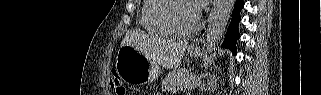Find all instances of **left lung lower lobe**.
Here are the masks:
<instances>
[{
	"label": "left lung lower lobe",
	"mask_w": 321,
	"mask_h": 95,
	"mask_svg": "<svg viewBox=\"0 0 321 95\" xmlns=\"http://www.w3.org/2000/svg\"><path fill=\"white\" fill-rule=\"evenodd\" d=\"M244 6L243 0H236L235 6L233 9L232 20L228 27L225 40L223 42V47L228 48L232 51L233 54L237 53L236 42L239 39L238 24L240 21V10Z\"/></svg>",
	"instance_id": "obj_1"
}]
</instances>
